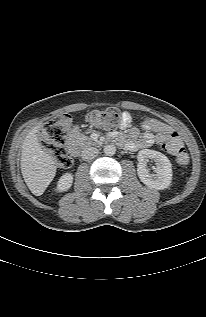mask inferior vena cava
<instances>
[{
  "instance_id": "1",
  "label": "inferior vena cava",
  "mask_w": 206,
  "mask_h": 317,
  "mask_svg": "<svg viewBox=\"0 0 206 317\" xmlns=\"http://www.w3.org/2000/svg\"><path fill=\"white\" fill-rule=\"evenodd\" d=\"M99 151L95 147H86L83 149L81 153V157L83 160H91L94 159L98 155Z\"/></svg>"
}]
</instances>
